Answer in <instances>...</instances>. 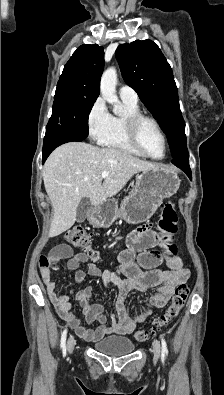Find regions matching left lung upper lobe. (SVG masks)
Masks as SVG:
<instances>
[{
  "instance_id": "left-lung-upper-lobe-1",
  "label": "left lung upper lobe",
  "mask_w": 224,
  "mask_h": 395,
  "mask_svg": "<svg viewBox=\"0 0 224 395\" xmlns=\"http://www.w3.org/2000/svg\"><path fill=\"white\" fill-rule=\"evenodd\" d=\"M122 76L167 135L172 157L186 148L185 123L172 69L151 40L121 44L115 52Z\"/></svg>"
}]
</instances>
